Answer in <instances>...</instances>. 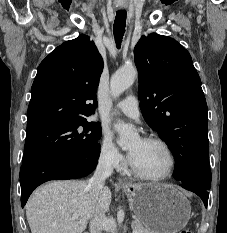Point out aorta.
<instances>
[{"instance_id":"762f6f07","label":"aorta","mask_w":227,"mask_h":233,"mask_svg":"<svg viewBox=\"0 0 227 233\" xmlns=\"http://www.w3.org/2000/svg\"><path fill=\"white\" fill-rule=\"evenodd\" d=\"M136 75L137 71L133 67L119 69L110 80V91L112 96L118 97L128 89L134 83ZM114 128L119 134L118 144L122 148H126L130 142L137 137V133L122 121H118L114 125Z\"/></svg>"}]
</instances>
